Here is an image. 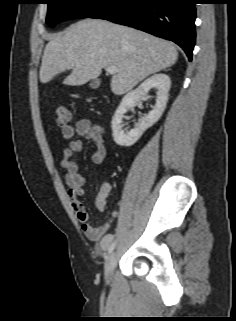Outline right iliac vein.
Masks as SVG:
<instances>
[{
  "instance_id": "63e3f726",
  "label": "right iliac vein",
  "mask_w": 236,
  "mask_h": 321,
  "mask_svg": "<svg viewBox=\"0 0 236 321\" xmlns=\"http://www.w3.org/2000/svg\"><path fill=\"white\" fill-rule=\"evenodd\" d=\"M116 261L117 257L115 252L111 253L106 259L104 267V276L107 283H110L112 281Z\"/></svg>"
}]
</instances>
